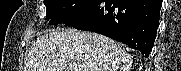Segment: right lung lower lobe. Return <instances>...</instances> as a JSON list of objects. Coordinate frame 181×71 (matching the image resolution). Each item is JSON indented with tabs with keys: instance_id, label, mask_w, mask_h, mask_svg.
I'll return each mask as SVG.
<instances>
[{
	"instance_id": "98d812e1",
	"label": "right lung lower lobe",
	"mask_w": 181,
	"mask_h": 71,
	"mask_svg": "<svg viewBox=\"0 0 181 71\" xmlns=\"http://www.w3.org/2000/svg\"><path fill=\"white\" fill-rule=\"evenodd\" d=\"M162 0H94L63 22L108 36L148 57L154 45Z\"/></svg>"
}]
</instances>
